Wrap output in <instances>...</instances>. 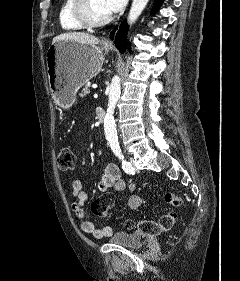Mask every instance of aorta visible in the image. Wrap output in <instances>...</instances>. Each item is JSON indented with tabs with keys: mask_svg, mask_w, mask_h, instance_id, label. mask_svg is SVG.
<instances>
[{
	"mask_svg": "<svg viewBox=\"0 0 240 281\" xmlns=\"http://www.w3.org/2000/svg\"><path fill=\"white\" fill-rule=\"evenodd\" d=\"M147 3L148 0H133L128 16L129 24H133L138 19ZM120 94V77L118 75H115L110 85L108 108L104 118V133L106 140L109 143H115L118 141L116 123L114 119V110L118 99L120 98Z\"/></svg>",
	"mask_w": 240,
	"mask_h": 281,
	"instance_id": "1",
	"label": "aorta"
}]
</instances>
